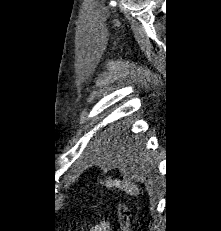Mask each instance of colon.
Here are the masks:
<instances>
[{
  "label": "colon",
  "instance_id": "5ec220e1",
  "mask_svg": "<svg viewBox=\"0 0 221 231\" xmlns=\"http://www.w3.org/2000/svg\"><path fill=\"white\" fill-rule=\"evenodd\" d=\"M118 218L121 224L122 231H128L129 229V220H130V212L127 206L123 203H119L117 206Z\"/></svg>",
  "mask_w": 221,
  "mask_h": 231
}]
</instances>
